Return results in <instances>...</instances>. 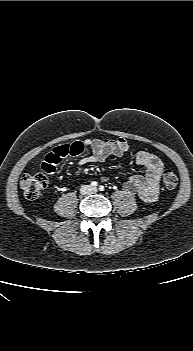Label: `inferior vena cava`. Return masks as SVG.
<instances>
[{"mask_svg":"<svg viewBox=\"0 0 193 351\" xmlns=\"http://www.w3.org/2000/svg\"><path fill=\"white\" fill-rule=\"evenodd\" d=\"M91 193V191H85L84 192V194H90Z\"/></svg>","mask_w":193,"mask_h":351,"instance_id":"602c4592","label":"inferior vena cava"}]
</instances>
